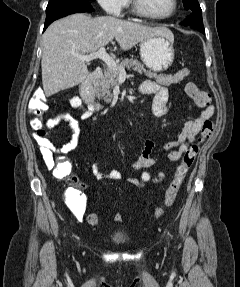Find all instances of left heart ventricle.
<instances>
[{"instance_id": "1", "label": "left heart ventricle", "mask_w": 240, "mask_h": 287, "mask_svg": "<svg viewBox=\"0 0 240 287\" xmlns=\"http://www.w3.org/2000/svg\"><path fill=\"white\" fill-rule=\"evenodd\" d=\"M142 3L154 15H165L172 7V0H142Z\"/></svg>"}]
</instances>
